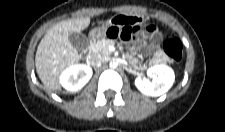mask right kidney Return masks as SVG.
Listing matches in <instances>:
<instances>
[{"mask_svg":"<svg viewBox=\"0 0 225 132\" xmlns=\"http://www.w3.org/2000/svg\"><path fill=\"white\" fill-rule=\"evenodd\" d=\"M92 74L91 67L84 64L74 65L62 72L60 83L66 90L76 92L88 83Z\"/></svg>","mask_w":225,"mask_h":132,"instance_id":"ca27d5eb","label":"right kidney"}]
</instances>
